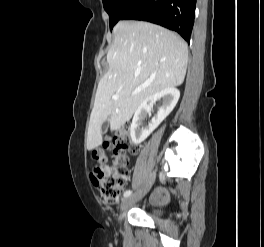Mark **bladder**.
Returning <instances> with one entry per match:
<instances>
[{"mask_svg":"<svg viewBox=\"0 0 264 247\" xmlns=\"http://www.w3.org/2000/svg\"><path fill=\"white\" fill-rule=\"evenodd\" d=\"M151 210L155 214V216L158 217V209L157 208H152Z\"/></svg>","mask_w":264,"mask_h":247,"instance_id":"31cf9c89","label":"bladder"}]
</instances>
